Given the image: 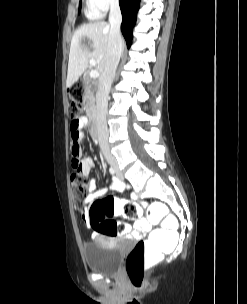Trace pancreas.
Here are the masks:
<instances>
[{
  "mask_svg": "<svg viewBox=\"0 0 247 304\" xmlns=\"http://www.w3.org/2000/svg\"><path fill=\"white\" fill-rule=\"evenodd\" d=\"M83 105L86 114L90 116L95 109V97L88 87L85 89L83 95Z\"/></svg>",
  "mask_w": 247,
  "mask_h": 304,
  "instance_id": "obj_1",
  "label": "pancreas"
}]
</instances>
